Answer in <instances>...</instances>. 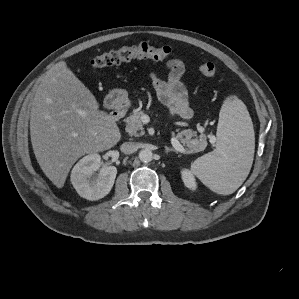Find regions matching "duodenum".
I'll return each mask as SVG.
<instances>
[{"instance_id": "1", "label": "duodenum", "mask_w": 299, "mask_h": 299, "mask_svg": "<svg viewBox=\"0 0 299 299\" xmlns=\"http://www.w3.org/2000/svg\"><path fill=\"white\" fill-rule=\"evenodd\" d=\"M111 105V112H110V119L113 122H117L123 118L126 113L127 104L125 102L115 101V98L112 97L110 99Z\"/></svg>"}]
</instances>
